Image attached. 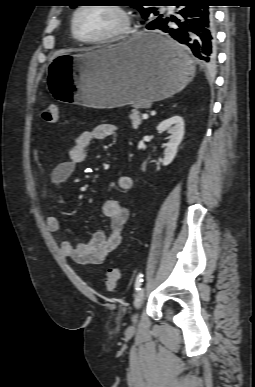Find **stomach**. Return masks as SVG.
I'll return each mask as SVG.
<instances>
[{
	"mask_svg": "<svg viewBox=\"0 0 255 387\" xmlns=\"http://www.w3.org/2000/svg\"><path fill=\"white\" fill-rule=\"evenodd\" d=\"M148 33L114 47L55 56L47 84L57 104L71 108H114L159 101L181 91L195 74L194 65L167 59L147 44Z\"/></svg>",
	"mask_w": 255,
	"mask_h": 387,
	"instance_id": "0dacf381",
	"label": "stomach"
}]
</instances>
